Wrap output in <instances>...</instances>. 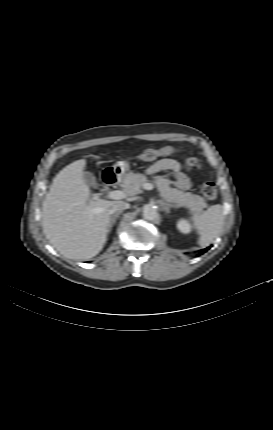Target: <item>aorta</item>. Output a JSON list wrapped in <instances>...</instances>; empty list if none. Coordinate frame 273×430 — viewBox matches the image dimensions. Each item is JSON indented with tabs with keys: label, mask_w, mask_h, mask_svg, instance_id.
Returning a JSON list of instances; mask_svg holds the SVG:
<instances>
[{
	"label": "aorta",
	"mask_w": 273,
	"mask_h": 430,
	"mask_svg": "<svg viewBox=\"0 0 273 430\" xmlns=\"http://www.w3.org/2000/svg\"><path fill=\"white\" fill-rule=\"evenodd\" d=\"M143 217L146 220L153 221L158 217V212L155 206L146 205L143 209Z\"/></svg>",
	"instance_id": "obj_1"
}]
</instances>
